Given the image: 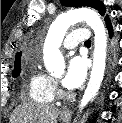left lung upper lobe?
Instances as JSON below:
<instances>
[{
	"instance_id": "1",
	"label": "left lung upper lobe",
	"mask_w": 122,
	"mask_h": 123,
	"mask_svg": "<svg viewBox=\"0 0 122 123\" xmlns=\"http://www.w3.org/2000/svg\"><path fill=\"white\" fill-rule=\"evenodd\" d=\"M63 5L73 6V7H82L88 6L92 7L99 11L100 15L104 16L105 8L101 1L99 0H61Z\"/></svg>"
}]
</instances>
